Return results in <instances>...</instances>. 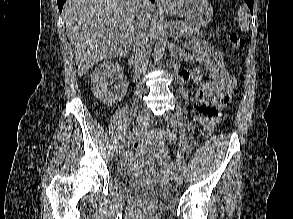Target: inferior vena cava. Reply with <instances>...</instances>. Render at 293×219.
<instances>
[{"label": "inferior vena cava", "mask_w": 293, "mask_h": 219, "mask_svg": "<svg viewBox=\"0 0 293 219\" xmlns=\"http://www.w3.org/2000/svg\"><path fill=\"white\" fill-rule=\"evenodd\" d=\"M138 10L136 18L134 20V41H133V53H134V66L136 76L141 73H144L148 69V60L146 57V48H147V25L145 22L140 9L142 7H148V0H137Z\"/></svg>", "instance_id": "602c4592"}]
</instances>
